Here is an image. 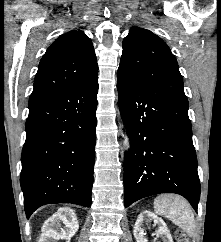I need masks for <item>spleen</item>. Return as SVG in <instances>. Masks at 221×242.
I'll list each match as a JSON object with an SVG mask.
<instances>
[{
    "mask_svg": "<svg viewBox=\"0 0 221 242\" xmlns=\"http://www.w3.org/2000/svg\"><path fill=\"white\" fill-rule=\"evenodd\" d=\"M155 213L169 219L189 237L195 234V218L186 199L179 195L163 194L154 200Z\"/></svg>",
    "mask_w": 221,
    "mask_h": 242,
    "instance_id": "3e777b00",
    "label": "spleen"
}]
</instances>
